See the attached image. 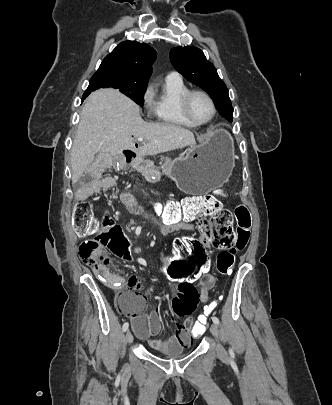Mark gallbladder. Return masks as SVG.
<instances>
[{"instance_id": "gallbladder-1", "label": "gallbladder", "mask_w": 332, "mask_h": 405, "mask_svg": "<svg viewBox=\"0 0 332 405\" xmlns=\"http://www.w3.org/2000/svg\"><path fill=\"white\" fill-rule=\"evenodd\" d=\"M103 156V154L102 153H100L98 156H97V158L96 159H98V158H100V157H102Z\"/></svg>"}]
</instances>
